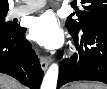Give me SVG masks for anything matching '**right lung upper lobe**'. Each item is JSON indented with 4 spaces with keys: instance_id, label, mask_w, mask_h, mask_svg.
Here are the masks:
<instances>
[{
    "instance_id": "right-lung-upper-lobe-1",
    "label": "right lung upper lobe",
    "mask_w": 107,
    "mask_h": 89,
    "mask_svg": "<svg viewBox=\"0 0 107 89\" xmlns=\"http://www.w3.org/2000/svg\"><path fill=\"white\" fill-rule=\"evenodd\" d=\"M9 5L8 0H0V13L8 12Z\"/></svg>"
}]
</instances>
